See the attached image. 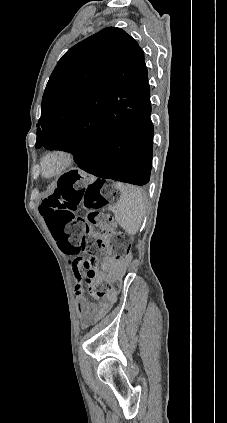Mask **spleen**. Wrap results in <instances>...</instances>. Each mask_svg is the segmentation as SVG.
I'll return each instance as SVG.
<instances>
[{
    "mask_svg": "<svg viewBox=\"0 0 227 423\" xmlns=\"http://www.w3.org/2000/svg\"><path fill=\"white\" fill-rule=\"evenodd\" d=\"M121 196L115 206V219L119 225L134 235L138 231L145 213V202L139 188L116 184Z\"/></svg>",
    "mask_w": 227,
    "mask_h": 423,
    "instance_id": "3e777b00",
    "label": "spleen"
}]
</instances>
